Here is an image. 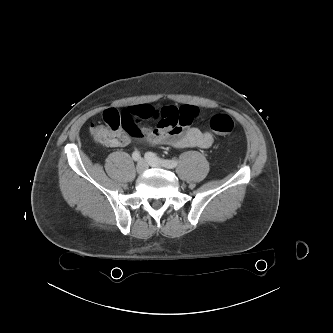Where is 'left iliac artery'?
Returning <instances> with one entry per match:
<instances>
[{"mask_svg": "<svg viewBox=\"0 0 333 333\" xmlns=\"http://www.w3.org/2000/svg\"><path fill=\"white\" fill-rule=\"evenodd\" d=\"M151 155H154V154L149 152V153L146 154L145 158H147ZM161 162L169 169L175 168L179 163L178 159H174V160H167V159L164 160V159H162Z\"/></svg>", "mask_w": 333, "mask_h": 333, "instance_id": "1", "label": "left iliac artery"}]
</instances>
